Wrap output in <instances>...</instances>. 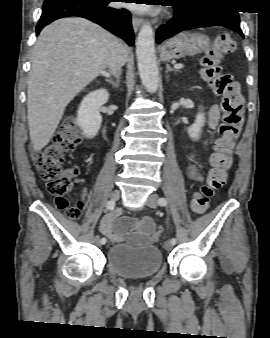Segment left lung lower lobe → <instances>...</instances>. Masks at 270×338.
I'll use <instances>...</instances> for the list:
<instances>
[{
  "mask_svg": "<svg viewBox=\"0 0 270 338\" xmlns=\"http://www.w3.org/2000/svg\"><path fill=\"white\" fill-rule=\"evenodd\" d=\"M190 3V1L181 0L173 2L175 16L170 23L157 30L158 43L179 32L198 27L223 26L243 35L239 25L238 11L227 9L221 3L210 2L200 5Z\"/></svg>",
  "mask_w": 270,
  "mask_h": 338,
  "instance_id": "left-lung-lower-lobe-1",
  "label": "left lung lower lobe"
}]
</instances>
